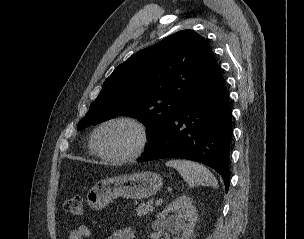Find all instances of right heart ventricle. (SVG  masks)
<instances>
[{"instance_id":"1","label":"right heart ventricle","mask_w":304,"mask_h":239,"mask_svg":"<svg viewBox=\"0 0 304 239\" xmlns=\"http://www.w3.org/2000/svg\"><path fill=\"white\" fill-rule=\"evenodd\" d=\"M90 149H91V146H90ZM91 152L94 153L92 149H91Z\"/></svg>"}]
</instances>
